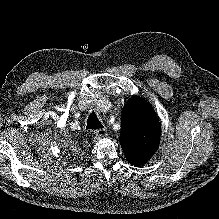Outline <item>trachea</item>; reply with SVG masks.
I'll return each mask as SVG.
<instances>
[{"instance_id": "obj_1", "label": "trachea", "mask_w": 219, "mask_h": 219, "mask_svg": "<svg viewBox=\"0 0 219 219\" xmlns=\"http://www.w3.org/2000/svg\"><path fill=\"white\" fill-rule=\"evenodd\" d=\"M87 129H100L103 128L102 123L98 120L95 112H92L87 119Z\"/></svg>"}]
</instances>
